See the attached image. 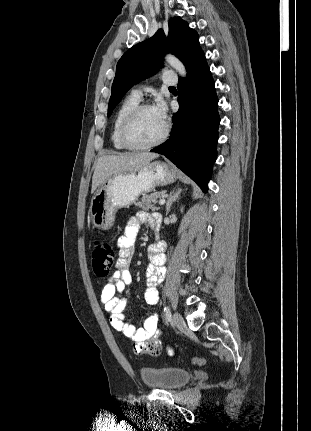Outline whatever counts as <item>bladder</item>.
<instances>
[{"mask_svg": "<svg viewBox=\"0 0 311 431\" xmlns=\"http://www.w3.org/2000/svg\"><path fill=\"white\" fill-rule=\"evenodd\" d=\"M140 377L147 387L169 391L188 383L191 373L184 368L172 366L142 367Z\"/></svg>", "mask_w": 311, "mask_h": 431, "instance_id": "obj_1", "label": "bladder"}]
</instances>
